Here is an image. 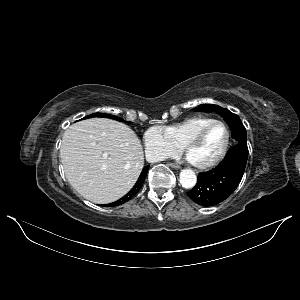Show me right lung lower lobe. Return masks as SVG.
I'll return each instance as SVG.
<instances>
[{
  "mask_svg": "<svg viewBox=\"0 0 300 300\" xmlns=\"http://www.w3.org/2000/svg\"><path fill=\"white\" fill-rule=\"evenodd\" d=\"M148 168H149V166H146L143 169V171L141 172V175H140L139 179L137 180L136 184L133 186V188L124 197H122L121 199H119L116 202H113L111 204H107L106 206H117V205H120V204H123V203L127 202L132 197H134L138 193V191L140 190V188H141V186H142V184H143V182L146 178Z\"/></svg>",
  "mask_w": 300,
  "mask_h": 300,
  "instance_id": "right-lung-lower-lobe-1",
  "label": "right lung lower lobe"
}]
</instances>
